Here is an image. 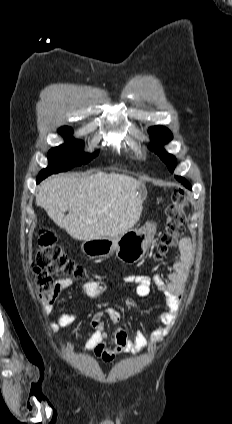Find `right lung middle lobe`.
I'll list each match as a JSON object with an SVG mask.
<instances>
[{
    "instance_id": "obj_1",
    "label": "right lung middle lobe",
    "mask_w": 232,
    "mask_h": 424,
    "mask_svg": "<svg viewBox=\"0 0 232 424\" xmlns=\"http://www.w3.org/2000/svg\"><path fill=\"white\" fill-rule=\"evenodd\" d=\"M58 132L65 136L66 143L49 151V165L39 173L38 178L40 179H44L53 173L66 171L72 166L80 165L81 163L86 164L98 154V152L93 154L84 153L83 142L72 138L71 128L62 127Z\"/></svg>"
}]
</instances>
